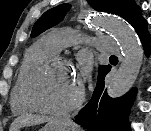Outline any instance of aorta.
Listing matches in <instances>:
<instances>
[{
  "label": "aorta",
  "mask_w": 151,
  "mask_h": 131,
  "mask_svg": "<svg viewBox=\"0 0 151 131\" xmlns=\"http://www.w3.org/2000/svg\"><path fill=\"white\" fill-rule=\"evenodd\" d=\"M94 25L105 29L118 41L123 60L107 87L111 98L124 95L134 84L143 61V50L132 27L116 16L96 17Z\"/></svg>",
  "instance_id": "obj_1"
}]
</instances>
